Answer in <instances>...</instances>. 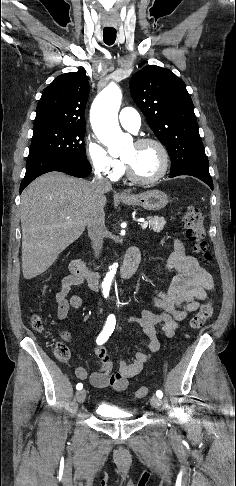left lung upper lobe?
Here are the masks:
<instances>
[{"label": "left lung upper lobe", "mask_w": 236, "mask_h": 486, "mask_svg": "<svg viewBox=\"0 0 236 486\" xmlns=\"http://www.w3.org/2000/svg\"><path fill=\"white\" fill-rule=\"evenodd\" d=\"M130 91L150 128L166 146L171 158L170 174H209L193 102L184 81L169 69L148 65L132 76Z\"/></svg>", "instance_id": "5c2ea615"}]
</instances>
